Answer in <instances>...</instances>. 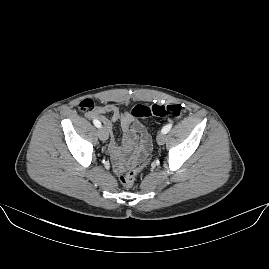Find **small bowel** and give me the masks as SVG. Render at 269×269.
I'll list each match as a JSON object with an SVG mask.
<instances>
[{
    "label": "small bowel",
    "mask_w": 269,
    "mask_h": 269,
    "mask_svg": "<svg viewBox=\"0 0 269 269\" xmlns=\"http://www.w3.org/2000/svg\"><path fill=\"white\" fill-rule=\"evenodd\" d=\"M105 114H111L107 118ZM91 118H99L105 125L107 132L110 134L108 149L115 171L119 174L125 172L129 167H134L141 163L142 159L148 157L143 150L142 142L146 130L145 126L135 121L130 114L120 111L116 104L108 103L96 107L90 114ZM120 121L122 130V146H119L113 136V123ZM139 139V143L138 140Z\"/></svg>",
    "instance_id": "1"
}]
</instances>
